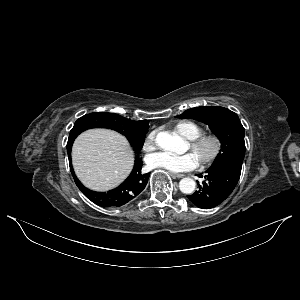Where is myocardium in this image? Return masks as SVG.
<instances>
[{
    "instance_id": "obj_1",
    "label": "myocardium",
    "mask_w": 300,
    "mask_h": 300,
    "mask_svg": "<svg viewBox=\"0 0 300 300\" xmlns=\"http://www.w3.org/2000/svg\"><path fill=\"white\" fill-rule=\"evenodd\" d=\"M206 143H210L212 148L209 155L198 162L202 167L213 165L219 159L223 150L222 139L216 133H202L193 139H189L191 149H198Z\"/></svg>"
}]
</instances>
